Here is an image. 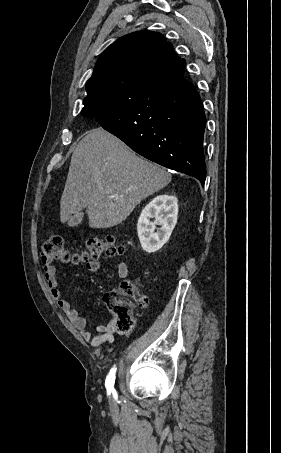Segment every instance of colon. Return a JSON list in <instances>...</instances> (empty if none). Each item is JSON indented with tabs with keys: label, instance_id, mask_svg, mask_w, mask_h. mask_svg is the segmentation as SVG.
Returning <instances> with one entry per match:
<instances>
[{
	"label": "colon",
	"instance_id": "1",
	"mask_svg": "<svg viewBox=\"0 0 281 453\" xmlns=\"http://www.w3.org/2000/svg\"><path fill=\"white\" fill-rule=\"evenodd\" d=\"M129 255V249L123 244L112 240L89 238L85 241V247L70 253L61 233L51 234L44 243L41 260L43 262L73 261V262H97L103 256L124 257ZM122 294L130 299L129 304L115 308L118 329L130 331L133 328V314L142 312L146 306V298L138 296L137 285L130 279L120 281Z\"/></svg>",
	"mask_w": 281,
	"mask_h": 453
}]
</instances>
